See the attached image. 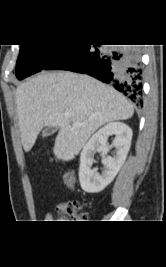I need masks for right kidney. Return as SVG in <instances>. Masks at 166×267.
I'll return each instance as SVG.
<instances>
[{"label":"right kidney","instance_id":"1","mask_svg":"<svg viewBox=\"0 0 166 267\" xmlns=\"http://www.w3.org/2000/svg\"><path fill=\"white\" fill-rule=\"evenodd\" d=\"M111 135H115V139L109 146L107 140ZM131 140L132 130L122 122H110L90 138L80 154L79 181L85 192L98 193L113 181L126 160ZM112 147L116 148L115 155L107 156ZM96 152L102 153L101 174L91 168Z\"/></svg>","mask_w":166,"mask_h":267}]
</instances>
